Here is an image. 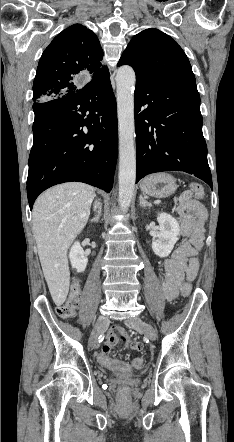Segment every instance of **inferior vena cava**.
<instances>
[{
    "label": "inferior vena cava",
    "instance_id": "1",
    "mask_svg": "<svg viewBox=\"0 0 234 442\" xmlns=\"http://www.w3.org/2000/svg\"><path fill=\"white\" fill-rule=\"evenodd\" d=\"M99 202H96V204H95V209L97 208V207H99Z\"/></svg>",
    "mask_w": 234,
    "mask_h": 442
}]
</instances>
